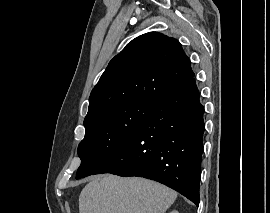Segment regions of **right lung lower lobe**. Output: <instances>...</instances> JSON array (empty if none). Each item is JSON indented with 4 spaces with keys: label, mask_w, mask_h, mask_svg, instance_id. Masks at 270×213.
<instances>
[{
    "label": "right lung lower lobe",
    "mask_w": 270,
    "mask_h": 213,
    "mask_svg": "<svg viewBox=\"0 0 270 213\" xmlns=\"http://www.w3.org/2000/svg\"><path fill=\"white\" fill-rule=\"evenodd\" d=\"M204 107L194 77L158 102L133 136L94 174L160 182L199 205Z\"/></svg>",
    "instance_id": "right-lung-lower-lobe-1"
}]
</instances>
